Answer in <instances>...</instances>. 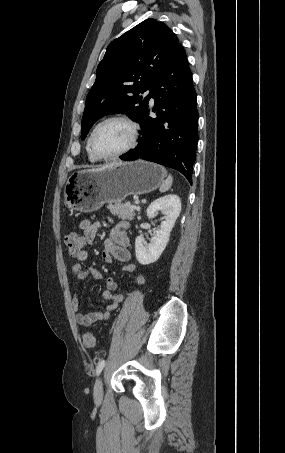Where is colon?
Wrapping results in <instances>:
<instances>
[{
    "label": "colon",
    "instance_id": "1",
    "mask_svg": "<svg viewBox=\"0 0 285 453\" xmlns=\"http://www.w3.org/2000/svg\"><path fill=\"white\" fill-rule=\"evenodd\" d=\"M65 245L71 257H77L85 247V239L77 232H70L64 237ZM82 342L85 348L92 349L95 346L96 340L94 335L87 331L83 334Z\"/></svg>",
    "mask_w": 285,
    "mask_h": 453
}]
</instances>
